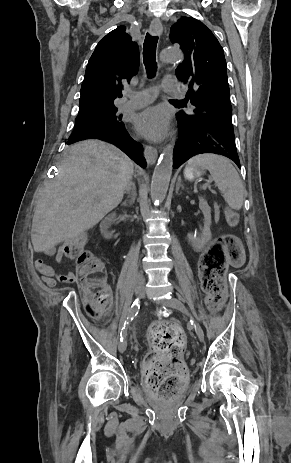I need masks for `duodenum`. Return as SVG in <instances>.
<instances>
[{
    "instance_id": "obj_1",
    "label": "duodenum",
    "mask_w": 291,
    "mask_h": 463,
    "mask_svg": "<svg viewBox=\"0 0 291 463\" xmlns=\"http://www.w3.org/2000/svg\"><path fill=\"white\" fill-rule=\"evenodd\" d=\"M118 215L117 211L113 212V215L106 217L101 224V230L104 237L108 240L113 239L116 236L115 231L112 229V226L116 220V216Z\"/></svg>"
}]
</instances>
